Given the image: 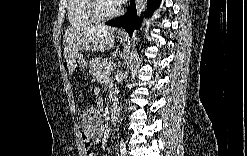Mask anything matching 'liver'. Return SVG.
I'll return each mask as SVG.
<instances>
[{
	"instance_id": "6515ba94",
	"label": "liver",
	"mask_w": 247,
	"mask_h": 156,
	"mask_svg": "<svg viewBox=\"0 0 247 156\" xmlns=\"http://www.w3.org/2000/svg\"><path fill=\"white\" fill-rule=\"evenodd\" d=\"M116 29L105 25L69 28L64 34V55L69 73L75 70V58L80 50L103 52L114 45Z\"/></svg>"
}]
</instances>
